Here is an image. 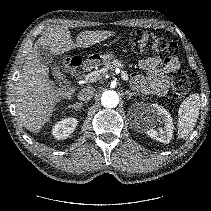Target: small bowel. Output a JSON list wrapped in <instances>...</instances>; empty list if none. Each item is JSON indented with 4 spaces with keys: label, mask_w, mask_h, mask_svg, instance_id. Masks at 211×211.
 <instances>
[{
    "label": "small bowel",
    "mask_w": 211,
    "mask_h": 211,
    "mask_svg": "<svg viewBox=\"0 0 211 211\" xmlns=\"http://www.w3.org/2000/svg\"><path fill=\"white\" fill-rule=\"evenodd\" d=\"M139 67L146 75L133 74L135 86L146 94L164 96L169 88V76L179 68V61L176 58L147 57L139 61Z\"/></svg>",
    "instance_id": "obj_1"
}]
</instances>
